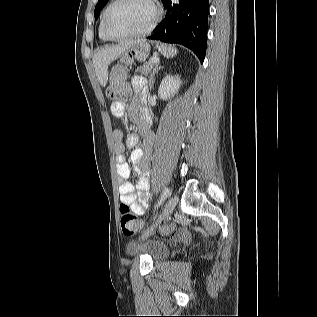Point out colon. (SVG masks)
I'll use <instances>...</instances> for the list:
<instances>
[{"mask_svg":"<svg viewBox=\"0 0 317 317\" xmlns=\"http://www.w3.org/2000/svg\"><path fill=\"white\" fill-rule=\"evenodd\" d=\"M106 93L108 98L114 102H120L129 94V84L127 81V71L123 66H114L111 70ZM121 230L125 235H133L142 227V222L137 219L128 205L120 206ZM164 233H172V228H163Z\"/></svg>","mask_w":317,"mask_h":317,"instance_id":"1","label":"colon"}]
</instances>
